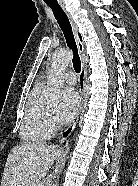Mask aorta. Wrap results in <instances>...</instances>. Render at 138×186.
<instances>
[{
    "instance_id": "obj_1",
    "label": "aorta",
    "mask_w": 138,
    "mask_h": 186,
    "mask_svg": "<svg viewBox=\"0 0 138 186\" xmlns=\"http://www.w3.org/2000/svg\"><path fill=\"white\" fill-rule=\"evenodd\" d=\"M72 52L69 50L56 51L51 59V68L49 73L48 98L51 103H58L63 88L62 74L72 60ZM70 147L67 145L64 157L67 155ZM65 164V158L61 160V167ZM57 186V185H55Z\"/></svg>"
}]
</instances>
